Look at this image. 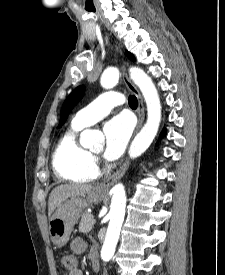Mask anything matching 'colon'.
<instances>
[{
	"label": "colon",
	"instance_id": "obj_1",
	"mask_svg": "<svg viewBox=\"0 0 225 275\" xmlns=\"http://www.w3.org/2000/svg\"><path fill=\"white\" fill-rule=\"evenodd\" d=\"M63 267L68 271H74L77 268V259L73 254H64L61 258Z\"/></svg>",
	"mask_w": 225,
	"mask_h": 275
}]
</instances>
